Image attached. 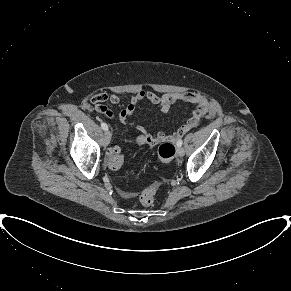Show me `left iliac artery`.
I'll use <instances>...</instances> for the list:
<instances>
[{
    "instance_id": "1",
    "label": "left iliac artery",
    "mask_w": 291,
    "mask_h": 291,
    "mask_svg": "<svg viewBox=\"0 0 291 291\" xmlns=\"http://www.w3.org/2000/svg\"><path fill=\"white\" fill-rule=\"evenodd\" d=\"M182 144H183V141H182L181 139L177 141V146H178V147H181Z\"/></svg>"
}]
</instances>
